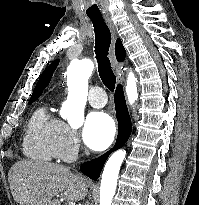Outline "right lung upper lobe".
Listing matches in <instances>:
<instances>
[{
  "label": "right lung upper lobe",
  "instance_id": "right-lung-upper-lobe-1",
  "mask_svg": "<svg viewBox=\"0 0 199 205\" xmlns=\"http://www.w3.org/2000/svg\"><path fill=\"white\" fill-rule=\"evenodd\" d=\"M115 54H116V58L119 62L123 61L125 59L126 52H125V49H124L120 39H117V41H116ZM58 63H59V60H55L44 70V72L40 76V78L36 84V87L31 95L30 101L36 100L42 94V91L48 86V84L51 80V77L53 75V72L55 71L56 67L58 66Z\"/></svg>",
  "mask_w": 199,
  "mask_h": 205
}]
</instances>
